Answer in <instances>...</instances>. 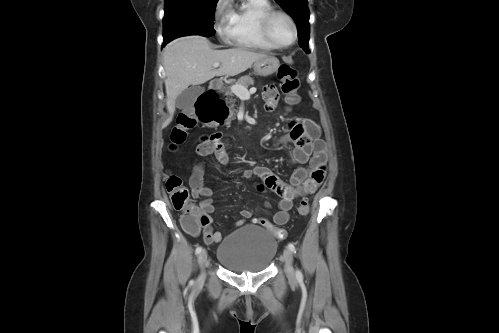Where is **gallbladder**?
<instances>
[{
	"label": "gallbladder",
	"instance_id": "bac80fb5",
	"mask_svg": "<svg viewBox=\"0 0 499 333\" xmlns=\"http://www.w3.org/2000/svg\"><path fill=\"white\" fill-rule=\"evenodd\" d=\"M204 92V87L192 86L184 90L175 100V106L179 109H190L199 95Z\"/></svg>",
	"mask_w": 499,
	"mask_h": 333
}]
</instances>
